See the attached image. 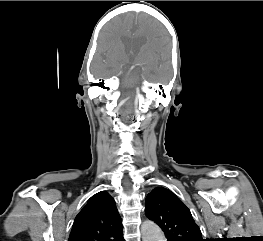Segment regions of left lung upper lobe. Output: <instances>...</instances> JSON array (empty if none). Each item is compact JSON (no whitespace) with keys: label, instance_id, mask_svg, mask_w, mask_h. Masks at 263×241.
<instances>
[{"label":"left lung upper lobe","instance_id":"1","mask_svg":"<svg viewBox=\"0 0 263 241\" xmlns=\"http://www.w3.org/2000/svg\"><path fill=\"white\" fill-rule=\"evenodd\" d=\"M145 213L163 230L167 241H204L190 210L166 188L156 187L148 194Z\"/></svg>","mask_w":263,"mask_h":241}]
</instances>
